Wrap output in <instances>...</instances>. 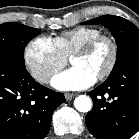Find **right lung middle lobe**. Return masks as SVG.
<instances>
[{
    "instance_id": "right-lung-middle-lobe-1",
    "label": "right lung middle lobe",
    "mask_w": 139,
    "mask_h": 139,
    "mask_svg": "<svg viewBox=\"0 0 139 139\" xmlns=\"http://www.w3.org/2000/svg\"><path fill=\"white\" fill-rule=\"evenodd\" d=\"M40 33L39 29L19 23L0 25V57H9L24 63V48Z\"/></svg>"
}]
</instances>
